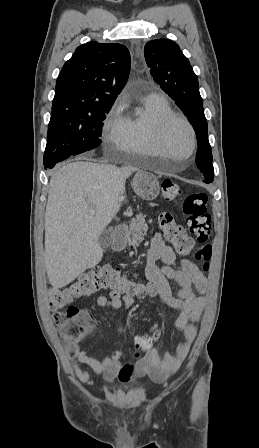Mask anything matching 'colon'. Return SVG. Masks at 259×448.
<instances>
[{"label": "colon", "instance_id": "5ec220e1", "mask_svg": "<svg viewBox=\"0 0 259 448\" xmlns=\"http://www.w3.org/2000/svg\"><path fill=\"white\" fill-rule=\"evenodd\" d=\"M161 194L164 200L174 202L182 194L181 186L170 178L161 182ZM208 197L204 192L188 194L182 201V209L186 216L188 231L176 223L169 213H162L159 226L167 239L173 243L178 253L187 255L191 252L194 241L198 247L195 257L200 267L207 270L212 255L209 243L211 235V217L207 209ZM99 291H109L111 295L144 298L155 294L154 288L145 283L130 279L117 269L97 267L83 275L75 282L63 288L49 290V304L53 318L60 329L67 345L81 341L93 328L94 322L90 314L83 309L72 306L75 300L87 298ZM161 333L151 332L135 338L136 356L141 351H148L159 339Z\"/></svg>", "mask_w": 259, "mask_h": 448}]
</instances>
